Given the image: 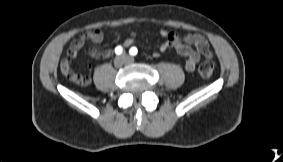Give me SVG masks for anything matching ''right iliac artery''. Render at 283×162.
Returning a JSON list of instances; mask_svg holds the SVG:
<instances>
[{
	"label": "right iliac artery",
	"instance_id": "right-iliac-artery-1",
	"mask_svg": "<svg viewBox=\"0 0 283 162\" xmlns=\"http://www.w3.org/2000/svg\"><path fill=\"white\" fill-rule=\"evenodd\" d=\"M122 51H123V49H122L121 46H117V47L115 48V53H116L117 55H120V54L122 53Z\"/></svg>",
	"mask_w": 283,
	"mask_h": 162
}]
</instances>
